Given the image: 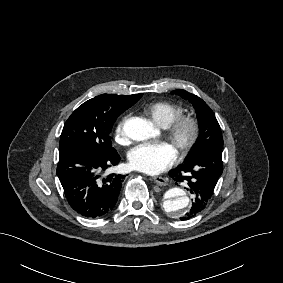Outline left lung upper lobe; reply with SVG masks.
Returning a JSON list of instances; mask_svg holds the SVG:
<instances>
[{"label": "left lung upper lobe", "mask_w": 283, "mask_h": 283, "mask_svg": "<svg viewBox=\"0 0 283 283\" xmlns=\"http://www.w3.org/2000/svg\"><path fill=\"white\" fill-rule=\"evenodd\" d=\"M172 93L180 95L193 104L199 122V136L186 161L199 156L206 150L222 148L223 138L221 128L210 107L202 99L185 90L177 89Z\"/></svg>", "instance_id": "left-lung-upper-lobe-1"}]
</instances>
